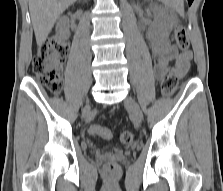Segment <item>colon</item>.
Wrapping results in <instances>:
<instances>
[{"label":"colon","mask_w":223,"mask_h":191,"mask_svg":"<svg viewBox=\"0 0 223 191\" xmlns=\"http://www.w3.org/2000/svg\"><path fill=\"white\" fill-rule=\"evenodd\" d=\"M175 40L177 47L181 52H187L189 49V39L187 37L186 28L182 25H177L175 28ZM67 46L58 41L46 42L39 52L35 55L32 61V69L35 73L40 85L48 91L58 94L62 89V70L67 57ZM176 68L164 77L162 81V91L165 96H171L178 84V76L175 72ZM91 133L103 139H110L111 132L109 129L94 125L90 129ZM122 144H130L133 141V133L129 130H124L119 135ZM117 164L110 162L106 165L105 170L108 173L117 171Z\"/></svg>","instance_id":"obj_1"}]
</instances>
